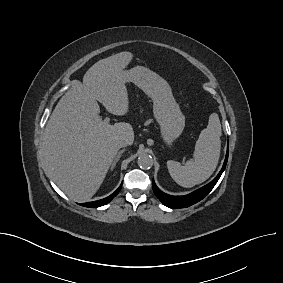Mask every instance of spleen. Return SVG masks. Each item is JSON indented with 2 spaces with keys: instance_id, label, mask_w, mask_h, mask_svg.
<instances>
[{
  "instance_id": "obj_1",
  "label": "spleen",
  "mask_w": 283,
  "mask_h": 283,
  "mask_svg": "<svg viewBox=\"0 0 283 283\" xmlns=\"http://www.w3.org/2000/svg\"><path fill=\"white\" fill-rule=\"evenodd\" d=\"M221 124L216 113L209 116L208 126L203 129L195 145L194 159L184 165L169 160L168 171L180 186L191 188L206 181L215 171L221 149Z\"/></svg>"
}]
</instances>
